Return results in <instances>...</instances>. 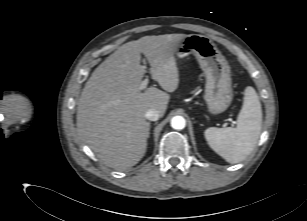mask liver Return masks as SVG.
Masks as SVG:
<instances>
[{
  "label": "liver",
  "mask_w": 307,
  "mask_h": 221,
  "mask_svg": "<svg viewBox=\"0 0 307 221\" xmlns=\"http://www.w3.org/2000/svg\"><path fill=\"white\" fill-rule=\"evenodd\" d=\"M185 34L144 36L120 46L103 61L85 84L77 103V134L105 165L126 169L136 165L147 148L149 109L165 114L168 93L179 85L175 59L178 43ZM141 53L147 58L150 74L161 88L139 86L146 68ZM166 91V92H165Z\"/></svg>",
  "instance_id": "liver-1"
}]
</instances>
